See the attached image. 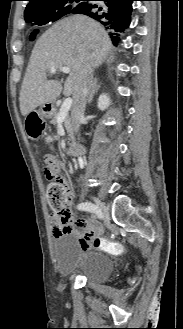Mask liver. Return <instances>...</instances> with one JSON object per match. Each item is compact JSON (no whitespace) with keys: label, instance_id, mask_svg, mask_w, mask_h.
<instances>
[{"label":"liver","instance_id":"liver-1","mask_svg":"<svg viewBox=\"0 0 183 329\" xmlns=\"http://www.w3.org/2000/svg\"><path fill=\"white\" fill-rule=\"evenodd\" d=\"M112 44L103 26L84 15H74L56 22L37 40L20 90V111L27 116L38 106L55 101L62 92L57 80H47L51 68L71 69L64 94L78 89L86 62L99 67Z\"/></svg>","mask_w":183,"mask_h":329}]
</instances>
